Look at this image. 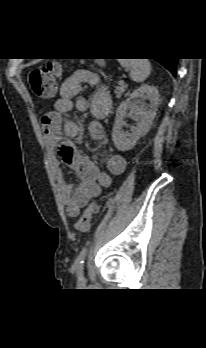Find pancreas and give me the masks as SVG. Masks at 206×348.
Masks as SVG:
<instances>
[{"label": "pancreas", "instance_id": "cf45deb5", "mask_svg": "<svg viewBox=\"0 0 206 348\" xmlns=\"http://www.w3.org/2000/svg\"><path fill=\"white\" fill-rule=\"evenodd\" d=\"M126 89H127V85H125L124 83L123 84L119 83V86H117L115 90L116 97L120 98L122 94L126 91Z\"/></svg>", "mask_w": 206, "mask_h": 348}]
</instances>
